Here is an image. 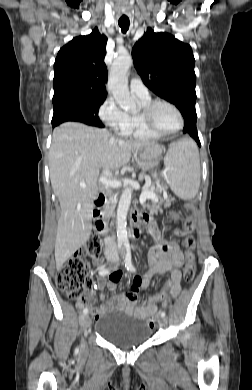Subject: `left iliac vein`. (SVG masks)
<instances>
[{"instance_id": "left-iliac-vein-1", "label": "left iliac vein", "mask_w": 252, "mask_h": 390, "mask_svg": "<svg viewBox=\"0 0 252 390\" xmlns=\"http://www.w3.org/2000/svg\"><path fill=\"white\" fill-rule=\"evenodd\" d=\"M158 322H159L160 325H164V324H166L167 320L164 317H159L158 318Z\"/></svg>"}]
</instances>
